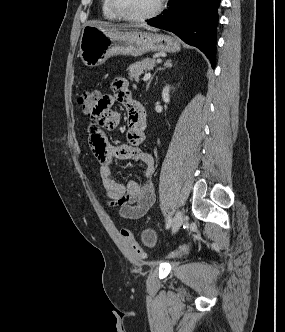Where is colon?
<instances>
[{"instance_id": "1", "label": "colon", "mask_w": 285, "mask_h": 332, "mask_svg": "<svg viewBox=\"0 0 285 332\" xmlns=\"http://www.w3.org/2000/svg\"><path fill=\"white\" fill-rule=\"evenodd\" d=\"M102 96L97 91H84L78 96V104L81 107L84 114L87 115V111H91L94 103H96V97ZM121 236L133 251V253L140 257L145 258L146 252L140 246V244L136 241L133 233L129 229L121 230ZM188 252V245H182L178 250L173 251L169 254V258L182 257Z\"/></svg>"}]
</instances>
